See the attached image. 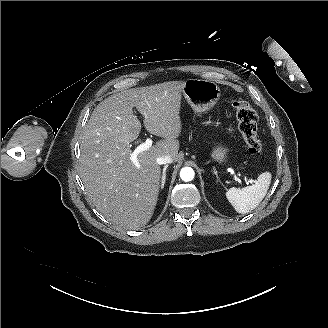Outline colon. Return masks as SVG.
Segmentation results:
<instances>
[{
  "mask_svg": "<svg viewBox=\"0 0 328 328\" xmlns=\"http://www.w3.org/2000/svg\"><path fill=\"white\" fill-rule=\"evenodd\" d=\"M231 104L236 113L238 129L249 152L253 155H261L263 146L257 131L256 111L247 101L241 99H232Z\"/></svg>",
  "mask_w": 328,
  "mask_h": 328,
  "instance_id": "colon-1",
  "label": "colon"
}]
</instances>
